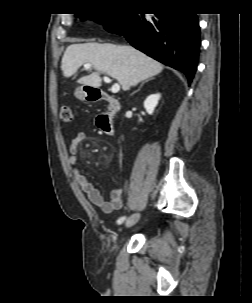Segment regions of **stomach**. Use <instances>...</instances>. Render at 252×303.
<instances>
[{
  "label": "stomach",
  "instance_id": "obj_1",
  "mask_svg": "<svg viewBox=\"0 0 252 303\" xmlns=\"http://www.w3.org/2000/svg\"><path fill=\"white\" fill-rule=\"evenodd\" d=\"M88 87L87 86H80L75 90V96L80 100H86L88 97L87 93Z\"/></svg>",
  "mask_w": 252,
  "mask_h": 303
}]
</instances>
